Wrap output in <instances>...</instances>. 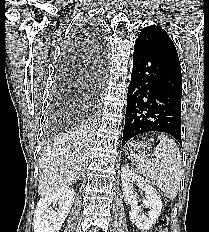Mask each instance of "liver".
Segmentation results:
<instances>
[{
	"label": "liver",
	"mask_w": 209,
	"mask_h": 232,
	"mask_svg": "<svg viewBox=\"0 0 209 232\" xmlns=\"http://www.w3.org/2000/svg\"><path fill=\"white\" fill-rule=\"evenodd\" d=\"M91 145V130L77 126L60 134L40 159L38 194L46 196L76 182L87 167Z\"/></svg>",
	"instance_id": "6515ba94"
}]
</instances>
